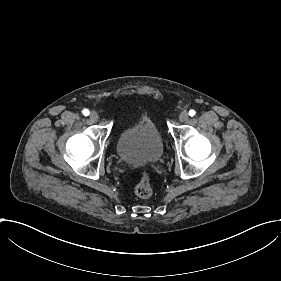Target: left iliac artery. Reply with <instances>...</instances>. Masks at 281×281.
<instances>
[{
    "label": "left iliac artery",
    "mask_w": 281,
    "mask_h": 281,
    "mask_svg": "<svg viewBox=\"0 0 281 281\" xmlns=\"http://www.w3.org/2000/svg\"><path fill=\"white\" fill-rule=\"evenodd\" d=\"M195 113H196V112H195L194 110H190V111H189V116L193 117V116L195 115Z\"/></svg>",
    "instance_id": "obj_1"
}]
</instances>
